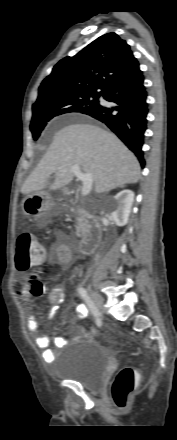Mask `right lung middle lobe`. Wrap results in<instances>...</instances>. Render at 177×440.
Listing matches in <instances>:
<instances>
[{
    "label": "right lung middle lobe",
    "mask_w": 177,
    "mask_h": 440,
    "mask_svg": "<svg viewBox=\"0 0 177 440\" xmlns=\"http://www.w3.org/2000/svg\"><path fill=\"white\" fill-rule=\"evenodd\" d=\"M103 95L98 94H79L60 97L46 105L33 108V117L30 130L34 140H37L47 122L53 117L68 113L87 111L99 105L98 98Z\"/></svg>",
    "instance_id": "right-lung-middle-lobe-1"
}]
</instances>
